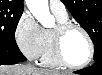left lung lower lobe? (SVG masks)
<instances>
[{
    "mask_svg": "<svg viewBox=\"0 0 102 75\" xmlns=\"http://www.w3.org/2000/svg\"><path fill=\"white\" fill-rule=\"evenodd\" d=\"M75 73L82 75H102V59L96 60L92 67L75 71Z\"/></svg>",
    "mask_w": 102,
    "mask_h": 75,
    "instance_id": "0a47b994",
    "label": "left lung lower lobe"
}]
</instances>
